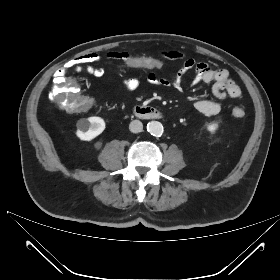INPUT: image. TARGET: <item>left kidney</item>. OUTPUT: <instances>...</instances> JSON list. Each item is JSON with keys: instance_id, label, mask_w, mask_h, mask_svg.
Returning <instances> with one entry per match:
<instances>
[{"instance_id": "1", "label": "left kidney", "mask_w": 280, "mask_h": 280, "mask_svg": "<svg viewBox=\"0 0 280 280\" xmlns=\"http://www.w3.org/2000/svg\"><path fill=\"white\" fill-rule=\"evenodd\" d=\"M207 129L210 132H215L218 129V124L217 123L209 124L207 126Z\"/></svg>"}]
</instances>
